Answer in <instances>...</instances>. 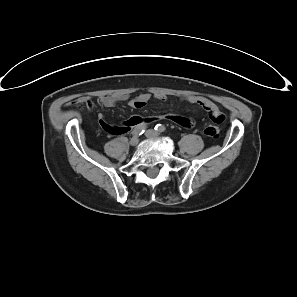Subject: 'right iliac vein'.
I'll return each instance as SVG.
<instances>
[{
  "label": "right iliac vein",
  "mask_w": 297,
  "mask_h": 297,
  "mask_svg": "<svg viewBox=\"0 0 297 297\" xmlns=\"http://www.w3.org/2000/svg\"><path fill=\"white\" fill-rule=\"evenodd\" d=\"M138 142H139V138H138V136H134V137H132L131 140H130V145H131V146H136V145L138 144Z\"/></svg>",
  "instance_id": "1"
}]
</instances>
